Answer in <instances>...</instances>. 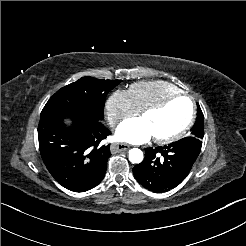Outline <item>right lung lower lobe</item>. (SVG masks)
<instances>
[{"label":"right lung lower lobe","instance_id":"obj_1","mask_svg":"<svg viewBox=\"0 0 246 246\" xmlns=\"http://www.w3.org/2000/svg\"><path fill=\"white\" fill-rule=\"evenodd\" d=\"M110 134L101 121L73 119L65 127L62 117H43L38 125L42 159L52 176L65 188L84 192L104 177L109 145H99Z\"/></svg>","mask_w":246,"mask_h":246}]
</instances>
